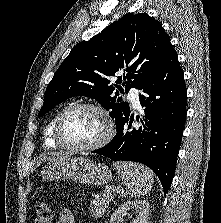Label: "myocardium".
Instances as JSON below:
<instances>
[{
  "instance_id": "1",
  "label": "myocardium",
  "mask_w": 221,
  "mask_h": 223,
  "mask_svg": "<svg viewBox=\"0 0 221 223\" xmlns=\"http://www.w3.org/2000/svg\"><path fill=\"white\" fill-rule=\"evenodd\" d=\"M77 109H89L99 113L106 122V132L104 135L97 140L95 143L87 146H76L65 142L61 136V124L65 118V116L73 110ZM115 134V124L110 116V114L102 107L92 103H74L67 107H65L58 114L54 128H53V139L57 144L63 149L75 151V152H92L104 147L108 144Z\"/></svg>"
}]
</instances>
